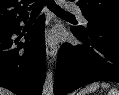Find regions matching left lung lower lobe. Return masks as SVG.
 Listing matches in <instances>:
<instances>
[{
  "instance_id": "0a47b994",
  "label": "left lung lower lobe",
  "mask_w": 119,
  "mask_h": 95,
  "mask_svg": "<svg viewBox=\"0 0 119 95\" xmlns=\"http://www.w3.org/2000/svg\"><path fill=\"white\" fill-rule=\"evenodd\" d=\"M71 31L81 44L60 48L54 94L66 95L96 81L119 82V27L88 23Z\"/></svg>"
}]
</instances>
